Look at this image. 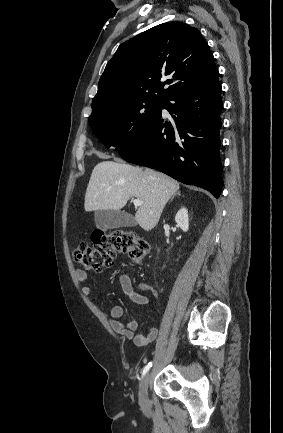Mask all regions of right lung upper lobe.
Returning <instances> with one entry per match:
<instances>
[{"label":"right lung upper lobe","instance_id":"1","mask_svg":"<svg viewBox=\"0 0 283 433\" xmlns=\"http://www.w3.org/2000/svg\"><path fill=\"white\" fill-rule=\"evenodd\" d=\"M218 75L212 52L196 28L163 23L119 46L101 76L91 115L135 101L164 102Z\"/></svg>","mask_w":283,"mask_h":433}]
</instances>
